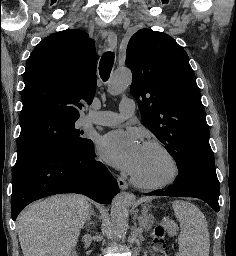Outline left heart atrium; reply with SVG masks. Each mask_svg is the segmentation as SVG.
<instances>
[{
  "mask_svg": "<svg viewBox=\"0 0 236 256\" xmlns=\"http://www.w3.org/2000/svg\"><path fill=\"white\" fill-rule=\"evenodd\" d=\"M143 147L141 135L135 129L112 131L100 142V152L104 159L128 173L135 170Z\"/></svg>",
  "mask_w": 236,
  "mask_h": 256,
  "instance_id": "obj_1",
  "label": "left heart atrium"
}]
</instances>
